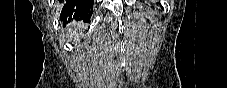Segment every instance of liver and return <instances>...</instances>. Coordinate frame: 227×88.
Instances as JSON below:
<instances>
[{
    "label": "liver",
    "mask_w": 227,
    "mask_h": 88,
    "mask_svg": "<svg viewBox=\"0 0 227 88\" xmlns=\"http://www.w3.org/2000/svg\"><path fill=\"white\" fill-rule=\"evenodd\" d=\"M70 34H71L70 39H72V38H74V39H76V40L79 39V35H78L76 32H72V31H71Z\"/></svg>",
    "instance_id": "obj_1"
}]
</instances>
